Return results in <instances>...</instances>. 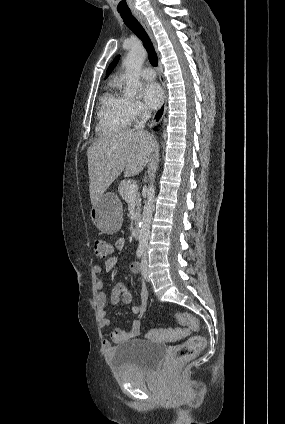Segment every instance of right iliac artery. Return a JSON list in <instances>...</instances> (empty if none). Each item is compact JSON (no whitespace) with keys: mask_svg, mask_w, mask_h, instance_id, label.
I'll return each instance as SVG.
<instances>
[{"mask_svg":"<svg viewBox=\"0 0 285 424\" xmlns=\"http://www.w3.org/2000/svg\"><path fill=\"white\" fill-rule=\"evenodd\" d=\"M143 255H144V249L143 248H139L137 250V257L140 259V258L143 257Z\"/></svg>","mask_w":285,"mask_h":424,"instance_id":"right-iliac-artery-1","label":"right iliac artery"}]
</instances>
